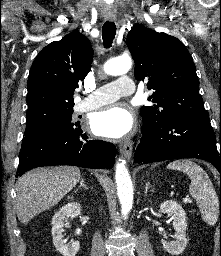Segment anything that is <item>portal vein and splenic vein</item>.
Masks as SVG:
<instances>
[{"label": "portal vein and splenic vein", "mask_w": 221, "mask_h": 256, "mask_svg": "<svg viewBox=\"0 0 221 256\" xmlns=\"http://www.w3.org/2000/svg\"><path fill=\"white\" fill-rule=\"evenodd\" d=\"M184 202H191V198L189 196H186L184 199H183Z\"/></svg>", "instance_id": "1"}]
</instances>
